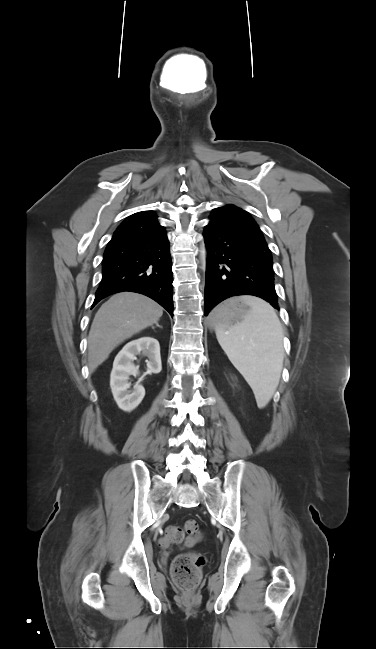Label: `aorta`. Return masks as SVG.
I'll list each match as a JSON object with an SVG mask.
<instances>
[{
    "mask_svg": "<svg viewBox=\"0 0 376 649\" xmlns=\"http://www.w3.org/2000/svg\"><path fill=\"white\" fill-rule=\"evenodd\" d=\"M201 256L203 257V259H204V261H205V257H206V251H205V249H203V250L201 251Z\"/></svg>",
    "mask_w": 376,
    "mask_h": 649,
    "instance_id": "obj_1",
    "label": "aorta"
}]
</instances>
